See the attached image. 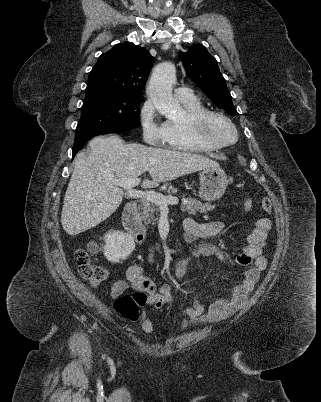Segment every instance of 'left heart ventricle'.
Masks as SVG:
<instances>
[{"label":"left heart ventricle","mask_w":321,"mask_h":402,"mask_svg":"<svg viewBox=\"0 0 321 402\" xmlns=\"http://www.w3.org/2000/svg\"><path fill=\"white\" fill-rule=\"evenodd\" d=\"M207 131L220 142H230L234 138L232 128L220 118H212L208 123Z\"/></svg>","instance_id":"obj_1"}]
</instances>
